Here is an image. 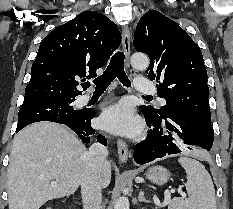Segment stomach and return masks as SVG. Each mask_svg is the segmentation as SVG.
<instances>
[{"instance_id": "obj_1", "label": "stomach", "mask_w": 233, "mask_h": 209, "mask_svg": "<svg viewBox=\"0 0 233 209\" xmlns=\"http://www.w3.org/2000/svg\"><path fill=\"white\" fill-rule=\"evenodd\" d=\"M145 175L150 182L156 185H164L169 180L168 170L161 166L149 168Z\"/></svg>"}]
</instances>
